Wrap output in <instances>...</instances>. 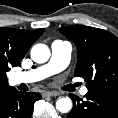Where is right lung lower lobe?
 <instances>
[{
  "label": "right lung lower lobe",
  "mask_w": 118,
  "mask_h": 118,
  "mask_svg": "<svg viewBox=\"0 0 118 118\" xmlns=\"http://www.w3.org/2000/svg\"><path fill=\"white\" fill-rule=\"evenodd\" d=\"M40 93L19 92L9 88L0 92V118H30Z\"/></svg>",
  "instance_id": "1"
}]
</instances>
